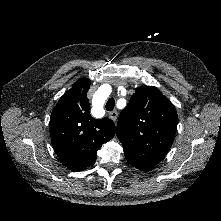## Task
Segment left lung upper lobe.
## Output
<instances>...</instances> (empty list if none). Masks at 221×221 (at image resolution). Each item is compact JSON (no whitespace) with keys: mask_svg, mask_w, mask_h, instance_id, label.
<instances>
[{"mask_svg":"<svg viewBox=\"0 0 221 221\" xmlns=\"http://www.w3.org/2000/svg\"><path fill=\"white\" fill-rule=\"evenodd\" d=\"M177 123L174 105L156 87L136 88L117 125L126 160L138 169H152L172 146Z\"/></svg>","mask_w":221,"mask_h":221,"instance_id":"obj_1","label":"left lung upper lobe"}]
</instances>
